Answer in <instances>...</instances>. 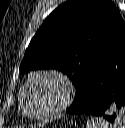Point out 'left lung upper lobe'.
I'll return each instance as SVG.
<instances>
[{
	"instance_id": "1",
	"label": "left lung upper lobe",
	"mask_w": 125,
	"mask_h": 128,
	"mask_svg": "<svg viewBox=\"0 0 125 128\" xmlns=\"http://www.w3.org/2000/svg\"><path fill=\"white\" fill-rule=\"evenodd\" d=\"M125 31V22L111 0H69L59 5L32 38L20 73L57 69L76 88L73 103L91 70Z\"/></svg>"
}]
</instances>
